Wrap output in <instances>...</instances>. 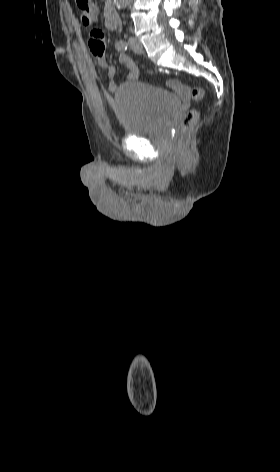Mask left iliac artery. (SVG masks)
Returning a JSON list of instances; mask_svg holds the SVG:
<instances>
[{
  "label": "left iliac artery",
  "mask_w": 280,
  "mask_h": 472,
  "mask_svg": "<svg viewBox=\"0 0 280 472\" xmlns=\"http://www.w3.org/2000/svg\"><path fill=\"white\" fill-rule=\"evenodd\" d=\"M116 49L119 50V51H124L127 49V44L124 40H119L117 43H116Z\"/></svg>",
  "instance_id": "1"
}]
</instances>
